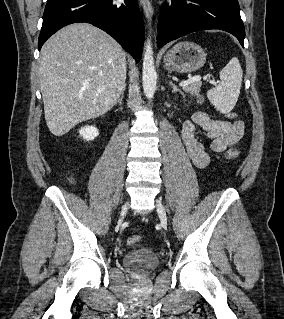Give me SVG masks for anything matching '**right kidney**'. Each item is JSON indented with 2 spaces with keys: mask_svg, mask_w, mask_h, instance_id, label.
<instances>
[{
  "mask_svg": "<svg viewBox=\"0 0 284 319\" xmlns=\"http://www.w3.org/2000/svg\"><path fill=\"white\" fill-rule=\"evenodd\" d=\"M79 133H80V136H82L85 140L89 141L96 138L99 134V131L96 127L86 126L81 128Z\"/></svg>",
  "mask_w": 284,
  "mask_h": 319,
  "instance_id": "right-kidney-1",
  "label": "right kidney"
}]
</instances>
